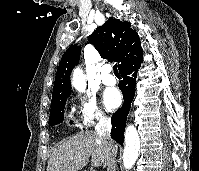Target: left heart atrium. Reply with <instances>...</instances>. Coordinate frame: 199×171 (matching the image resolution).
<instances>
[{"label":"left heart atrium","instance_id":"39dd6f15","mask_svg":"<svg viewBox=\"0 0 199 171\" xmlns=\"http://www.w3.org/2000/svg\"><path fill=\"white\" fill-rule=\"evenodd\" d=\"M103 103L108 110L117 108L121 103V95L116 89H109L103 95Z\"/></svg>","mask_w":199,"mask_h":171}]
</instances>
